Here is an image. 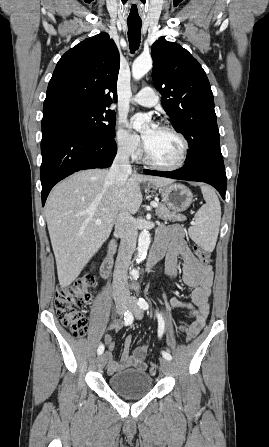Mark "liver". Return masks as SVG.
Instances as JSON below:
<instances>
[{"instance_id": "liver-1", "label": "liver", "mask_w": 269, "mask_h": 447, "mask_svg": "<svg viewBox=\"0 0 269 447\" xmlns=\"http://www.w3.org/2000/svg\"><path fill=\"white\" fill-rule=\"evenodd\" d=\"M107 174L108 170L77 172L57 184L47 198L45 216L61 287L78 277L109 237L120 212H138L142 204L141 182L157 188L173 182L132 174L119 188L106 180ZM95 220H101V224H95Z\"/></svg>"}]
</instances>
